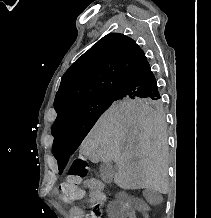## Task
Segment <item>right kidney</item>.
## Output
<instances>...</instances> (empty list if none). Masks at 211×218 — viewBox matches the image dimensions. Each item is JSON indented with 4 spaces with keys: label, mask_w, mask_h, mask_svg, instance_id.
I'll list each match as a JSON object with an SVG mask.
<instances>
[{
    "label": "right kidney",
    "mask_w": 211,
    "mask_h": 218,
    "mask_svg": "<svg viewBox=\"0 0 211 218\" xmlns=\"http://www.w3.org/2000/svg\"><path fill=\"white\" fill-rule=\"evenodd\" d=\"M119 201H112V206H108L109 217L111 218H138L134 211H138L139 207L135 206V202H142V197H131V193H116Z\"/></svg>",
    "instance_id": "ca27d5eb"
}]
</instances>
